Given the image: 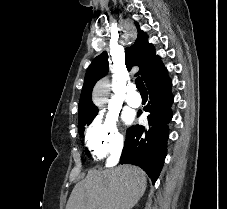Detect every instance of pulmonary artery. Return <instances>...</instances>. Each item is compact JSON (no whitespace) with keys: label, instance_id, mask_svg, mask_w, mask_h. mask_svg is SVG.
I'll use <instances>...</instances> for the list:
<instances>
[{"label":"pulmonary artery","instance_id":"obj_1","mask_svg":"<svg viewBox=\"0 0 227 209\" xmlns=\"http://www.w3.org/2000/svg\"><path fill=\"white\" fill-rule=\"evenodd\" d=\"M137 82H128V87L126 88L127 92L130 93L126 97V103L133 107H139L142 104V97L139 93H137Z\"/></svg>","mask_w":227,"mask_h":209}]
</instances>
